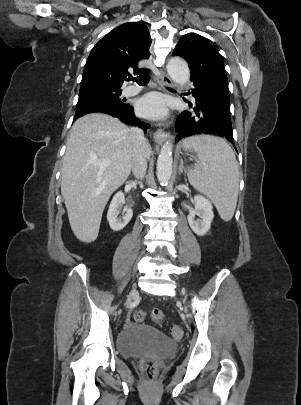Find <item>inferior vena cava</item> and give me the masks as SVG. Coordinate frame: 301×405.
Listing matches in <instances>:
<instances>
[{
	"instance_id": "inferior-vena-cava-1",
	"label": "inferior vena cava",
	"mask_w": 301,
	"mask_h": 405,
	"mask_svg": "<svg viewBox=\"0 0 301 405\" xmlns=\"http://www.w3.org/2000/svg\"><path fill=\"white\" fill-rule=\"evenodd\" d=\"M131 133L134 139L132 171L137 179H143L147 170L146 155L144 150L147 140L144 136V132L139 128L131 129Z\"/></svg>"
}]
</instances>
